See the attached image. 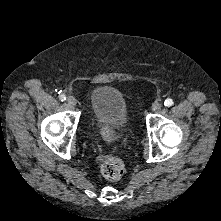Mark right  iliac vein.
Here are the masks:
<instances>
[{
    "label": "right iliac vein",
    "instance_id": "right-iliac-vein-1",
    "mask_svg": "<svg viewBox=\"0 0 221 221\" xmlns=\"http://www.w3.org/2000/svg\"><path fill=\"white\" fill-rule=\"evenodd\" d=\"M67 103L70 105V106H75L76 103H77V100L74 96H68L67 97Z\"/></svg>",
    "mask_w": 221,
    "mask_h": 221
}]
</instances>
